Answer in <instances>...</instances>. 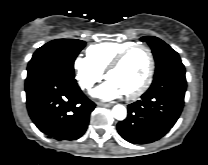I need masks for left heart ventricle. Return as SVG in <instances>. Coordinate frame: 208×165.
Instances as JSON below:
<instances>
[{
    "label": "left heart ventricle",
    "mask_w": 208,
    "mask_h": 165,
    "mask_svg": "<svg viewBox=\"0 0 208 165\" xmlns=\"http://www.w3.org/2000/svg\"><path fill=\"white\" fill-rule=\"evenodd\" d=\"M148 67V54L144 49L139 48L131 52L119 67L112 70L108 79L113 81L123 94H126L141 85Z\"/></svg>",
    "instance_id": "obj_1"
}]
</instances>
